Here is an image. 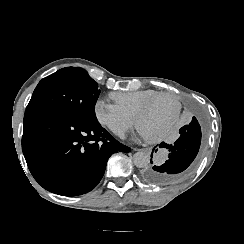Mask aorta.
Returning a JSON list of instances; mask_svg holds the SVG:
<instances>
[{
    "label": "aorta",
    "mask_w": 244,
    "mask_h": 244,
    "mask_svg": "<svg viewBox=\"0 0 244 244\" xmlns=\"http://www.w3.org/2000/svg\"><path fill=\"white\" fill-rule=\"evenodd\" d=\"M150 156L147 152L138 151L133 155V163L138 168H144L149 164Z\"/></svg>",
    "instance_id": "obj_1"
}]
</instances>
